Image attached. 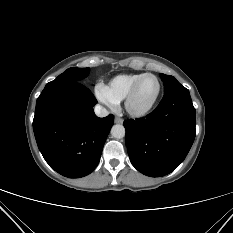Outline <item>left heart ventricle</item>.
<instances>
[{
    "label": "left heart ventricle",
    "mask_w": 233,
    "mask_h": 233,
    "mask_svg": "<svg viewBox=\"0 0 233 233\" xmlns=\"http://www.w3.org/2000/svg\"><path fill=\"white\" fill-rule=\"evenodd\" d=\"M157 88V81L153 77L145 78L134 97L132 102L133 107L137 109L146 107L154 99Z\"/></svg>",
    "instance_id": "1"
}]
</instances>
